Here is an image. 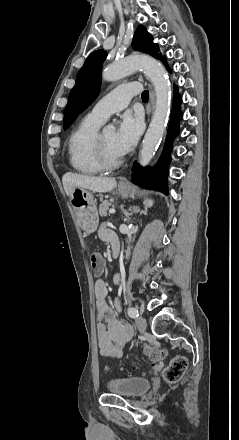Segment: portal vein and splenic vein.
I'll list each match as a JSON object with an SVG mask.
<instances>
[{
	"label": "portal vein and splenic vein",
	"mask_w": 239,
	"mask_h": 440,
	"mask_svg": "<svg viewBox=\"0 0 239 440\" xmlns=\"http://www.w3.org/2000/svg\"><path fill=\"white\" fill-rule=\"evenodd\" d=\"M110 211H111V213H110L111 215H114L117 213L114 209H111Z\"/></svg>",
	"instance_id": "1"
}]
</instances>
